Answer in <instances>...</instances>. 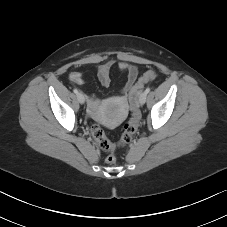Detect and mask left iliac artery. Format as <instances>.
I'll list each match as a JSON object with an SVG mask.
<instances>
[{
	"instance_id": "44dca946",
	"label": "left iliac artery",
	"mask_w": 227,
	"mask_h": 227,
	"mask_svg": "<svg viewBox=\"0 0 227 227\" xmlns=\"http://www.w3.org/2000/svg\"><path fill=\"white\" fill-rule=\"evenodd\" d=\"M150 90H151V89H150L149 87L146 88L145 93L148 94V93L150 92Z\"/></svg>"
}]
</instances>
